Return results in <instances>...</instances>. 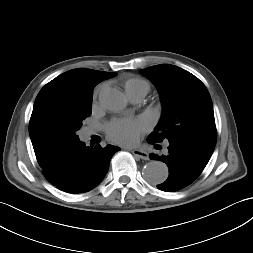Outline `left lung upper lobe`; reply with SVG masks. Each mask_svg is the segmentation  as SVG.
I'll use <instances>...</instances> for the list:
<instances>
[{"mask_svg": "<svg viewBox=\"0 0 253 253\" xmlns=\"http://www.w3.org/2000/svg\"><path fill=\"white\" fill-rule=\"evenodd\" d=\"M143 74L155 84L163 104L161 120L149 140L188 139L216 144L213 104L197 77L170 64L151 66Z\"/></svg>", "mask_w": 253, "mask_h": 253, "instance_id": "1", "label": "left lung upper lobe"}]
</instances>
